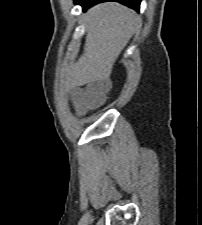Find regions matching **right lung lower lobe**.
Returning <instances> with one entry per match:
<instances>
[{"mask_svg": "<svg viewBox=\"0 0 202 225\" xmlns=\"http://www.w3.org/2000/svg\"><path fill=\"white\" fill-rule=\"evenodd\" d=\"M107 1L119 2L123 5L133 8L136 11H139L140 2H141V0H75V3L81 5L83 7V10H86L87 8L97 3L107 2Z\"/></svg>", "mask_w": 202, "mask_h": 225, "instance_id": "right-lung-lower-lobe-1", "label": "right lung lower lobe"}]
</instances>
